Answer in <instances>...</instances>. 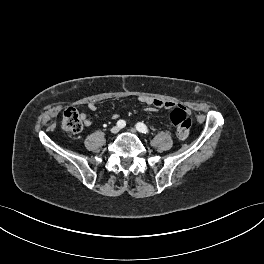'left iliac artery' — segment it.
Returning <instances> with one entry per match:
<instances>
[{
    "mask_svg": "<svg viewBox=\"0 0 264 264\" xmlns=\"http://www.w3.org/2000/svg\"><path fill=\"white\" fill-rule=\"evenodd\" d=\"M136 129H137L139 132L144 133V134H146V133L149 132L148 127H147L144 123H141V122H138V123L136 124Z\"/></svg>",
    "mask_w": 264,
    "mask_h": 264,
    "instance_id": "left-iliac-artery-1",
    "label": "left iliac artery"
}]
</instances>
